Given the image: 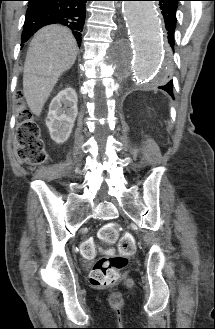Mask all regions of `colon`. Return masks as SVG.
Returning a JSON list of instances; mask_svg holds the SVG:
<instances>
[{
  "instance_id": "colon-1",
  "label": "colon",
  "mask_w": 215,
  "mask_h": 329,
  "mask_svg": "<svg viewBox=\"0 0 215 329\" xmlns=\"http://www.w3.org/2000/svg\"><path fill=\"white\" fill-rule=\"evenodd\" d=\"M17 73L23 72L22 66L16 67ZM17 157L32 165H42L48 160V154L44 143L40 138V129L33 120L32 114L22 109L18 116L17 127ZM118 227L114 223L104 225L99 230V238L106 244H113L118 239ZM119 254L102 256L93 265L90 273L91 284L95 287H107L114 285L120 271L127 265L128 258L135 252L136 243L132 235H123L118 243ZM81 253L84 256H92L94 245L86 241L81 246Z\"/></svg>"
}]
</instances>
